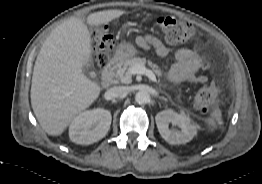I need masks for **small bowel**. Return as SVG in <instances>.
Wrapping results in <instances>:
<instances>
[{"mask_svg": "<svg viewBox=\"0 0 262 184\" xmlns=\"http://www.w3.org/2000/svg\"><path fill=\"white\" fill-rule=\"evenodd\" d=\"M135 43L142 48H152L160 57L168 55L169 50L157 37L145 34L135 37ZM176 63L171 67L169 75L175 82L191 81L203 83L207 78L201 74L203 63L199 56L189 48H180L175 54Z\"/></svg>", "mask_w": 262, "mask_h": 184, "instance_id": "1", "label": "small bowel"}]
</instances>
